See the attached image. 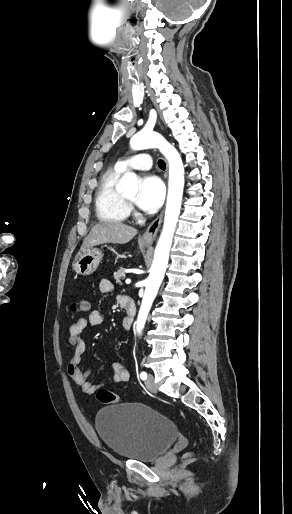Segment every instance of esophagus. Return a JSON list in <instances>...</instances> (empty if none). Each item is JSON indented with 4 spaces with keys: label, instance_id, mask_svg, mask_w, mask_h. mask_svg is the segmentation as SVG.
Listing matches in <instances>:
<instances>
[{
    "label": "esophagus",
    "instance_id": "34e87169",
    "mask_svg": "<svg viewBox=\"0 0 292 514\" xmlns=\"http://www.w3.org/2000/svg\"><path fill=\"white\" fill-rule=\"evenodd\" d=\"M163 220V211L160 213V215L153 220V222L149 225V227L146 229V231L142 234L140 237V240L142 242H153L155 240V237L157 235V232L161 226V222Z\"/></svg>",
    "mask_w": 292,
    "mask_h": 514
}]
</instances>
